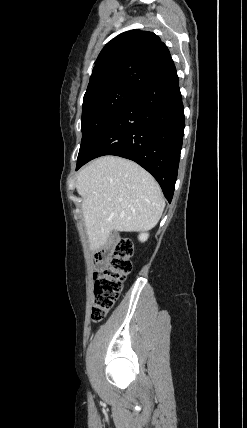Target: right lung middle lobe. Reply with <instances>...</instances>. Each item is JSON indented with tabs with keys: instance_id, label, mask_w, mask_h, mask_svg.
<instances>
[{
	"instance_id": "obj_1",
	"label": "right lung middle lobe",
	"mask_w": 247,
	"mask_h": 428,
	"mask_svg": "<svg viewBox=\"0 0 247 428\" xmlns=\"http://www.w3.org/2000/svg\"><path fill=\"white\" fill-rule=\"evenodd\" d=\"M139 92L129 87L116 86L84 95L82 141L78 158L84 154L105 125Z\"/></svg>"
}]
</instances>
